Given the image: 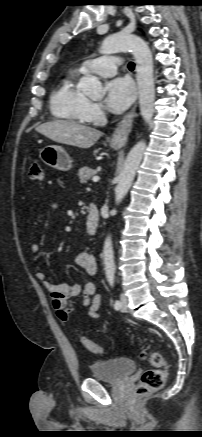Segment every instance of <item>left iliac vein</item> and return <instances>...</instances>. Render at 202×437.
Listing matches in <instances>:
<instances>
[{
	"instance_id": "obj_1",
	"label": "left iliac vein",
	"mask_w": 202,
	"mask_h": 437,
	"mask_svg": "<svg viewBox=\"0 0 202 437\" xmlns=\"http://www.w3.org/2000/svg\"><path fill=\"white\" fill-rule=\"evenodd\" d=\"M120 300H121L120 310L122 312H125L127 310V307H128V298L125 294H121Z\"/></svg>"
}]
</instances>
